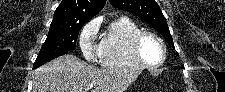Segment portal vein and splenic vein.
Masks as SVG:
<instances>
[{
	"mask_svg": "<svg viewBox=\"0 0 225 92\" xmlns=\"http://www.w3.org/2000/svg\"><path fill=\"white\" fill-rule=\"evenodd\" d=\"M87 88H88V89H92V88H94V85H93V84H89V85L87 86Z\"/></svg>",
	"mask_w": 225,
	"mask_h": 92,
	"instance_id": "18ae733b",
	"label": "portal vein and splenic vein"
}]
</instances>
